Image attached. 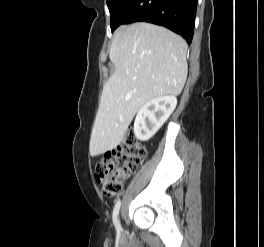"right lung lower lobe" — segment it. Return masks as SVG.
<instances>
[{"instance_id":"98d812e1","label":"right lung lower lobe","mask_w":264,"mask_h":247,"mask_svg":"<svg viewBox=\"0 0 264 247\" xmlns=\"http://www.w3.org/2000/svg\"><path fill=\"white\" fill-rule=\"evenodd\" d=\"M196 7L197 0H131L118 17V26L133 22H149L180 34L190 44L194 32Z\"/></svg>"}]
</instances>
